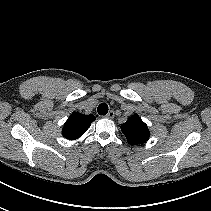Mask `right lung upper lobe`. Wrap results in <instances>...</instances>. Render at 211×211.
<instances>
[{"mask_svg": "<svg viewBox=\"0 0 211 211\" xmlns=\"http://www.w3.org/2000/svg\"><path fill=\"white\" fill-rule=\"evenodd\" d=\"M95 119L92 114L83 115L73 112L64 124L62 135L69 140H75L87 131Z\"/></svg>", "mask_w": 211, "mask_h": 211, "instance_id": "cb5924a9", "label": "right lung upper lobe"}]
</instances>
